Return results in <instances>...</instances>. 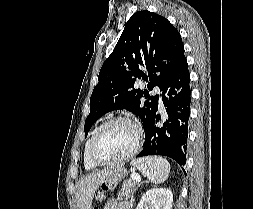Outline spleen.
Instances as JSON below:
<instances>
[{"mask_svg":"<svg viewBox=\"0 0 253 209\" xmlns=\"http://www.w3.org/2000/svg\"><path fill=\"white\" fill-rule=\"evenodd\" d=\"M143 176L154 184H161L170 174V164L162 157L148 156L131 162Z\"/></svg>","mask_w":253,"mask_h":209,"instance_id":"obj_1","label":"spleen"}]
</instances>
